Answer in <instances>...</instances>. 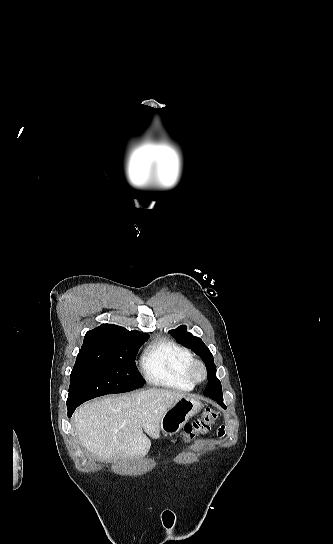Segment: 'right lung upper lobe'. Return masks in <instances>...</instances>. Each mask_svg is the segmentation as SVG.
I'll return each instance as SVG.
<instances>
[{
  "label": "right lung upper lobe",
  "mask_w": 333,
  "mask_h": 544,
  "mask_svg": "<svg viewBox=\"0 0 333 544\" xmlns=\"http://www.w3.org/2000/svg\"><path fill=\"white\" fill-rule=\"evenodd\" d=\"M149 337L146 333L138 331L129 332L113 324H103L90 330L84 337V342L80 351L83 352H105L113 342L121 339H142Z\"/></svg>",
  "instance_id": "obj_1"
}]
</instances>
